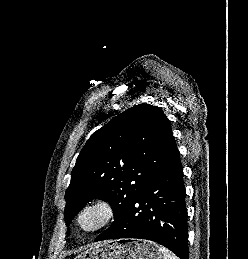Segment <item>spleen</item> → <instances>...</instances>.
<instances>
[{
  "instance_id": "obj_1",
  "label": "spleen",
  "mask_w": 248,
  "mask_h": 259,
  "mask_svg": "<svg viewBox=\"0 0 248 259\" xmlns=\"http://www.w3.org/2000/svg\"><path fill=\"white\" fill-rule=\"evenodd\" d=\"M159 249L163 254V259H179L175 254H173L170 250H168L164 246H160Z\"/></svg>"
}]
</instances>
